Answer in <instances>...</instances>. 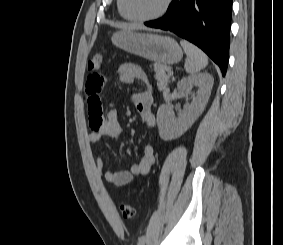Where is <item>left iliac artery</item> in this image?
<instances>
[{"label": "left iliac artery", "instance_id": "44dca946", "mask_svg": "<svg viewBox=\"0 0 283 245\" xmlns=\"http://www.w3.org/2000/svg\"><path fill=\"white\" fill-rule=\"evenodd\" d=\"M144 243H145V236L143 235V236H141V237L139 238V241H138V244H137V245H144Z\"/></svg>", "mask_w": 283, "mask_h": 245}]
</instances>
